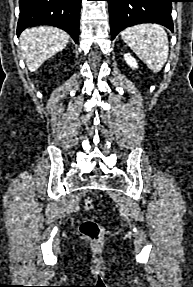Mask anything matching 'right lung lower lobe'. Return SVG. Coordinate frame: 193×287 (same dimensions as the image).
I'll return each instance as SVG.
<instances>
[{"instance_id":"right-lung-lower-lobe-1","label":"right lung lower lobe","mask_w":193,"mask_h":287,"mask_svg":"<svg viewBox=\"0 0 193 287\" xmlns=\"http://www.w3.org/2000/svg\"><path fill=\"white\" fill-rule=\"evenodd\" d=\"M17 35L31 26L52 25L78 42L81 0H19Z\"/></svg>"}]
</instances>
